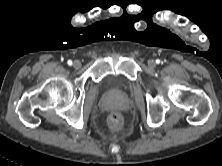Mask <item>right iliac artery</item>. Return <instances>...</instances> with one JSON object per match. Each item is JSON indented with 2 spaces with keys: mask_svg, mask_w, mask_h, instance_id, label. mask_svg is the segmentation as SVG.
<instances>
[{
  "mask_svg": "<svg viewBox=\"0 0 222 166\" xmlns=\"http://www.w3.org/2000/svg\"><path fill=\"white\" fill-rule=\"evenodd\" d=\"M68 65H72V61L71 60H68Z\"/></svg>",
  "mask_w": 222,
  "mask_h": 166,
  "instance_id": "obj_1",
  "label": "right iliac artery"
}]
</instances>
